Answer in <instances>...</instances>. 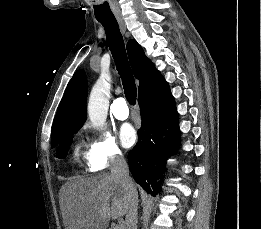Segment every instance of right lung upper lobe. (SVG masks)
<instances>
[{
	"label": "right lung upper lobe",
	"mask_w": 261,
	"mask_h": 229,
	"mask_svg": "<svg viewBox=\"0 0 261 229\" xmlns=\"http://www.w3.org/2000/svg\"><path fill=\"white\" fill-rule=\"evenodd\" d=\"M127 51L134 75L140 81L139 95L157 84L163 79V76L145 56L143 49L135 40H130L127 43ZM86 96V75L83 70H79L69 81L57 110L52 128V148L60 145L63 141L55 132L57 128L68 125H83L86 121Z\"/></svg>",
	"instance_id": "1"
}]
</instances>
